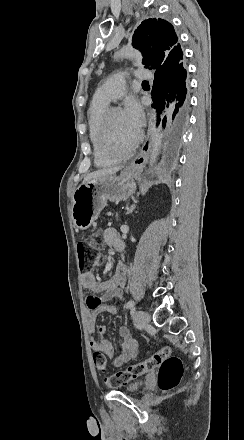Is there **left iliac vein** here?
I'll list each match as a JSON object with an SVG mask.
<instances>
[{
  "mask_svg": "<svg viewBox=\"0 0 244 440\" xmlns=\"http://www.w3.org/2000/svg\"><path fill=\"white\" fill-rule=\"evenodd\" d=\"M135 322L140 326H146L150 322V316L146 311L139 310L134 316Z\"/></svg>",
  "mask_w": 244,
  "mask_h": 440,
  "instance_id": "left-iliac-vein-1",
  "label": "left iliac vein"
}]
</instances>
